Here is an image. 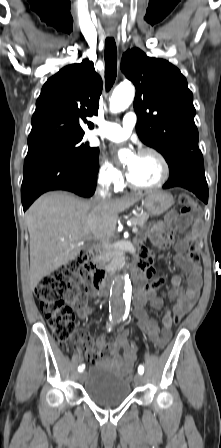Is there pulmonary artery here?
<instances>
[{"label":"pulmonary artery","mask_w":221,"mask_h":448,"mask_svg":"<svg viewBox=\"0 0 221 448\" xmlns=\"http://www.w3.org/2000/svg\"><path fill=\"white\" fill-rule=\"evenodd\" d=\"M135 123V113L129 112L124 116L122 126L112 122H103L93 134L103 136L112 141H121L130 136Z\"/></svg>","instance_id":"e3ab8cb5"}]
</instances>
